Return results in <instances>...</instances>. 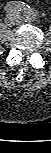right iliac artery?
I'll use <instances>...</instances> for the list:
<instances>
[{"label": "right iliac artery", "instance_id": "right-iliac-artery-1", "mask_svg": "<svg viewBox=\"0 0 51 153\" xmlns=\"http://www.w3.org/2000/svg\"><path fill=\"white\" fill-rule=\"evenodd\" d=\"M28 8V5L24 2L21 1H11L6 4L4 7V10L7 13L11 12H20V11H25Z\"/></svg>", "mask_w": 51, "mask_h": 153}]
</instances>
